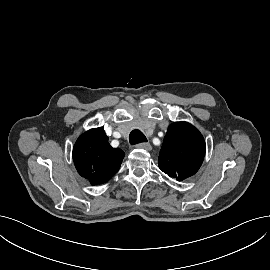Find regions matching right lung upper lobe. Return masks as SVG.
<instances>
[{
    "mask_svg": "<svg viewBox=\"0 0 270 270\" xmlns=\"http://www.w3.org/2000/svg\"><path fill=\"white\" fill-rule=\"evenodd\" d=\"M124 152L112 148L102 128L82 134L73 148V160L78 173L92 185L107 182L120 168Z\"/></svg>",
    "mask_w": 270,
    "mask_h": 270,
    "instance_id": "obj_1",
    "label": "right lung upper lobe"
}]
</instances>
